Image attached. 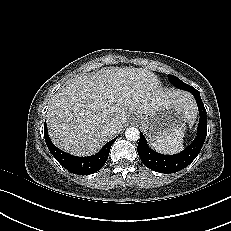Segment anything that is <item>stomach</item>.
<instances>
[{"label":"stomach","instance_id":"0dacf381","mask_svg":"<svg viewBox=\"0 0 231 231\" xmlns=\"http://www.w3.org/2000/svg\"><path fill=\"white\" fill-rule=\"evenodd\" d=\"M149 142L184 129L187 121L185 109L178 104H167L147 114H135Z\"/></svg>","mask_w":231,"mask_h":231}]
</instances>
